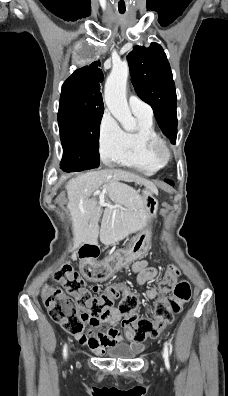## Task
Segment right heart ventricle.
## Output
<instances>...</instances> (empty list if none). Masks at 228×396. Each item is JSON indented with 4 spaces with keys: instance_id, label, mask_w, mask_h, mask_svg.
Segmentation results:
<instances>
[{
    "instance_id": "e07e8e85",
    "label": "right heart ventricle",
    "mask_w": 228,
    "mask_h": 396,
    "mask_svg": "<svg viewBox=\"0 0 228 396\" xmlns=\"http://www.w3.org/2000/svg\"><path fill=\"white\" fill-rule=\"evenodd\" d=\"M135 116L138 127L135 131L124 132L122 149L113 162L142 174L152 175L161 167L148 158L145 151V142L147 138L157 137L158 133L152 117L141 114H135Z\"/></svg>"
}]
</instances>
